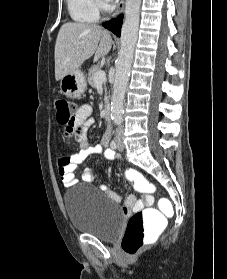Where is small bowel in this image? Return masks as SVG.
<instances>
[{
    "label": "small bowel",
    "instance_id": "small-bowel-1",
    "mask_svg": "<svg viewBox=\"0 0 227 279\" xmlns=\"http://www.w3.org/2000/svg\"><path fill=\"white\" fill-rule=\"evenodd\" d=\"M90 113H91V107L89 105L83 106L80 109L71 129L74 138L79 144L80 151L75 154L60 157L57 161V165H56L57 171L63 185L66 188L72 187L73 185L78 183L79 180L85 182H91L97 178V176L93 174L92 169L90 167L84 168L79 174V178L75 176L76 168L79 165H81L87 159V157H89L92 154L101 153L103 150L102 145L100 144L91 145L87 140L85 130L88 126H90L93 123V118L91 117ZM78 127H80V130H76V128ZM105 131L107 136L109 137L111 133V127L107 126ZM104 157L107 161H112L117 156L115 151H112L111 149H107L104 152ZM133 171L135 170L132 168L124 169L123 173L128 180H129L128 177L129 173ZM108 196L112 201L116 203L121 202L120 197L114 192H108ZM152 201H153L152 196H144L141 199H139L135 194H130L125 199L123 206L124 209L128 211L138 210L146 205H150Z\"/></svg>",
    "mask_w": 227,
    "mask_h": 279
}]
</instances>
